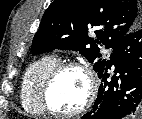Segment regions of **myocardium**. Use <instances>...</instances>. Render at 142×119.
<instances>
[{
  "mask_svg": "<svg viewBox=\"0 0 142 119\" xmlns=\"http://www.w3.org/2000/svg\"><path fill=\"white\" fill-rule=\"evenodd\" d=\"M69 69H77L83 73L87 81V93L85 100L80 107L69 112H62L55 109L50 103V92L58 78V76ZM97 94V81L92 70L86 64L77 61H66L56 65L45 77L41 90H40V102L45 112L48 114L59 117H74L82 114L93 104Z\"/></svg>",
  "mask_w": 142,
  "mask_h": 119,
  "instance_id": "f54148a6",
  "label": "myocardium"
}]
</instances>
